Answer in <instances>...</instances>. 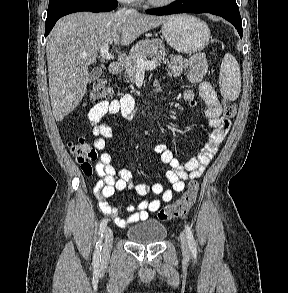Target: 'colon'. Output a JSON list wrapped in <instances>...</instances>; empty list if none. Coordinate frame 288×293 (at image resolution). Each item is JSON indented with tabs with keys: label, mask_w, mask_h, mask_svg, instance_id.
<instances>
[{
	"label": "colon",
	"mask_w": 288,
	"mask_h": 293,
	"mask_svg": "<svg viewBox=\"0 0 288 293\" xmlns=\"http://www.w3.org/2000/svg\"><path fill=\"white\" fill-rule=\"evenodd\" d=\"M113 90L107 85L106 81L99 79L95 82L93 90L91 92V100L98 102L104 99L112 97ZM224 117L226 119L233 118L236 114V108L229 102H223ZM71 152L76 156L77 161L81 165L83 172L86 175L92 174L91 162L97 158V153L83 138L77 139L75 142L69 143ZM198 183L192 180L188 184V188L182 194V196L174 203L163 207L159 211V218L167 221L173 218L181 217L185 215L190 208L193 206L197 194H198Z\"/></svg>",
	"instance_id": "5ec220e1"
}]
</instances>
